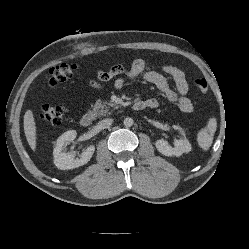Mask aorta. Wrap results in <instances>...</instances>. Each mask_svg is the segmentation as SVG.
<instances>
[{
	"label": "aorta",
	"mask_w": 249,
	"mask_h": 249,
	"mask_svg": "<svg viewBox=\"0 0 249 249\" xmlns=\"http://www.w3.org/2000/svg\"><path fill=\"white\" fill-rule=\"evenodd\" d=\"M124 125L126 127H131L133 125V119L130 117H127L124 119Z\"/></svg>",
	"instance_id": "aorta-1"
}]
</instances>
